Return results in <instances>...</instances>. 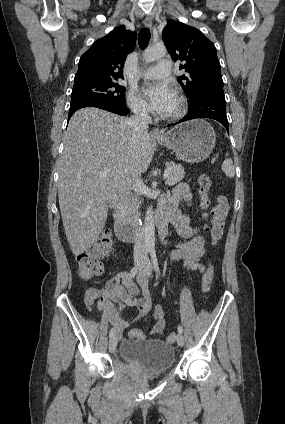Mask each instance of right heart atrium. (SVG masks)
<instances>
[{"label": "right heart atrium", "instance_id": "obj_1", "mask_svg": "<svg viewBox=\"0 0 285 424\" xmlns=\"http://www.w3.org/2000/svg\"><path fill=\"white\" fill-rule=\"evenodd\" d=\"M127 102L130 109L138 116H147L149 108L136 90L132 89L127 94Z\"/></svg>", "mask_w": 285, "mask_h": 424}]
</instances>
